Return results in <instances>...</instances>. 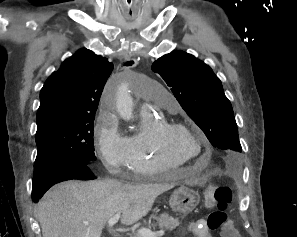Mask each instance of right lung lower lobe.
Here are the masks:
<instances>
[{
    "label": "right lung lower lobe",
    "mask_w": 297,
    "mask_h": 237,
    "mask_svg": "<svg viewBox=\"0 0 297 237\" xmlns=\"http://www.w3.org/2000/svg\"><path fill=\"white\" fill-rule=\"evenodd\" d=\"M96 176L83 163H66L55 166L45 184L39 188H32V200L37 201L54 184L67 180H93Z\"/></svg>",
    "instance_id": "obj_1"
}]
</instances>
